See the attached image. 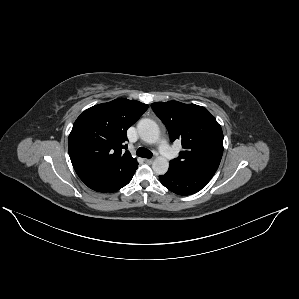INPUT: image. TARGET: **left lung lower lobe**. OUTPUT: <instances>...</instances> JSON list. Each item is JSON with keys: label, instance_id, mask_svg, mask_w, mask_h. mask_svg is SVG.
I'll use <instances>...</instances> for the list:
<instances>
[{"label": "left lung lower lobe", "instance_id": "1", "mask_svg": "<svg viewBox=\"0 0 299 299\" xmlns=\"http://www.w3.org/2000/svg\"><path fill=\"white\" fill-rule=\"evenodd\" d=\"M214 174L215 172L206 170L176 171L169 168L159 179L170 191L179 195H191L200 191Z\"/></svg>", "mask_w": 299, "mask_h": 299}]
</instances>
